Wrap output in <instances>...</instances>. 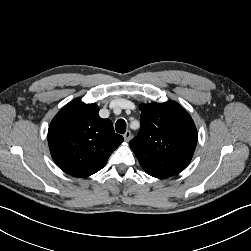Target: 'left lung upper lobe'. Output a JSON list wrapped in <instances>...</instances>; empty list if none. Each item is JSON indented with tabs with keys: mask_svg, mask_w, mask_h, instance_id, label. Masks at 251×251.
I'll return each mask as SVG.
<instances>
[{
	"mask_svg": "<svg viewBox=\"0 0 251 251\" xmlns=\"http://www.w3.org/2000/svg\"><path fill=\"white\" fill-rule=\"evenodd\" d=\"M141 128L129 146L151 176L166 178L190 163L198 139L194 122L177 102L141 104Z\"/></svg>",
	"mask_w": 251,
	"mask_h": 251,
	"instance_id": "left-lung-upper-lobe-1",
	"label": "left lung upper lobe"
}]
</instances>
